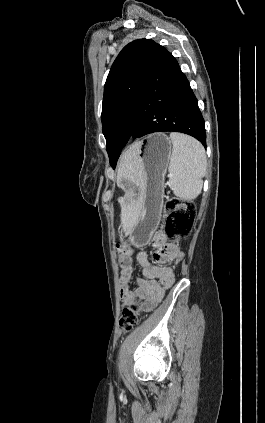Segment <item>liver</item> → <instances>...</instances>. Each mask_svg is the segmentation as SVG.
<instances>
[{"instance_id":"obj_1","label":"liver","mask_w":265,"mask_h":423,"mask_svg":"<svg viewBox=\"0 0 265 423\" xmlns=\"http://www.w3.org/2000/svg\"><path fill=\"white\" fill-rule=\"evenodd\" d=\"M137 149L138 143H135L121 157L117 174L118 185L123 180L136 185L141 183L142 170L136 161ZM140 209V202L135 201L132 198L129 200V202H126L122 205L121 228L125 234H128L135 224L139 216Z\"/></svg>"}]
</instances>
